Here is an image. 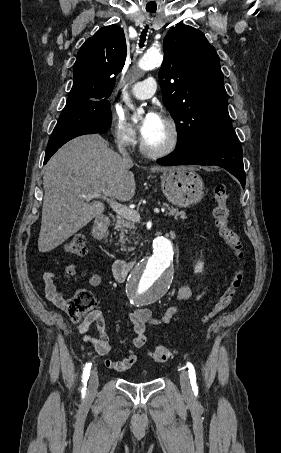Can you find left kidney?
<instances>
[{
    "label": "left kidney",
    "instance_id": "obj_1",
    "mask_svg": "<svg viewBox=\"0 0 281 453\" xmlns=\"http://www.w3.org/2000/svg\"><path fill=\"white\" fill-rule=\"evenodd\" d=\"M203 269V263H198L197 267H195V273H201Z\"/></svg>",
    "mask_w": 281,
    "mask_h": 453
}]
</instances>
